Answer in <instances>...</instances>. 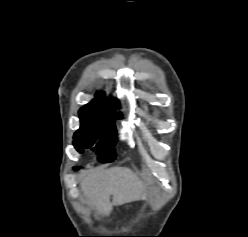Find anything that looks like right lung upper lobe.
I'll list each match as a JSON object with an SVG mask.
<instances>
[{
    "label": "right lung upper lobe",
    "instance_id": "obj_1",
    "mask_svg": "<svg viewBox=\"0 0 248 237\" xmlns=\"http://www.w3.org/2000/svg\"><path fill=\"white\" fill-rule=\"evenodd\" d=\"M115 107H119L117 99L106 98L104 95L97 94L95 99L80 109L79 114L100 118L120 117L121 113H116Z\"/></svg>",
    "mask_w": 248,
    "mask_h": 237
}]
</instances>
